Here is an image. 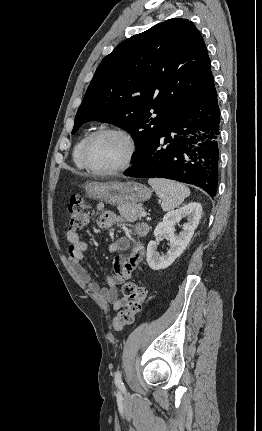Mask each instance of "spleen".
Returning a JSON list of instances; mask_svg holds the SVG:
<instances>
[{"label": "spleen", "mask_w": 262, "mask_h": 431, "mask_svg": "<svg viewBox=\"0 0 262 431\" xmlns=\"http://www.w3.org/2000/svg\"><path fill=\"white\" fill-rule=\"evenodd\" d=\"M148 184L162 199L161 207L164 211H172L179 207L184 199L190 195V189L187 186L173 180L150 178Z\"/></svg>", "instance_id": "1"}]
</instances>
